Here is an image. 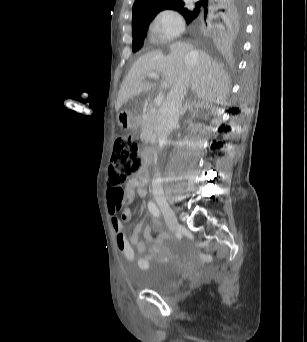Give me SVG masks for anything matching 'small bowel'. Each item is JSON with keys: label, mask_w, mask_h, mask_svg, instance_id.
Masks as SVG:
<instances>
[{"label": "small bowel", "mask_w": 307, "mask_h": 342, "mask_svg": "<svg viewBox=\"0 0 307 342\" xmlns=\"http://www.w3.org/2000/svg\"><path fill=\"white\" fill-rule=\"evenodd\" d=\"M147 182V172L144 168L138 170L134 175H132L127 183L129 198L131 199L135 193L144 195L146 193ZM109 211L111 214V227L114 233L118 251L120 255L128 261L134 260V247L139 253L144 252L147 247H152L155 253L168 239V234L165 232H162L158 237H153L151 233L152 228L147 224L145 219L136 225L131 237L128 239L124 232L123 221L115 215L117 210L113 206H109ZM124 213L128 214L130 218V213L128 210H125ZM153 228L157 230L161 229V223L158 220H154ZM141 231H143L144 234V241H139V234ZM149 260L150 258L148 256L141 257L138 261L139 267L142 269H147L149 266Z\"/></svg>", "instance_id": "small-bowel-1"}]
</instances>
